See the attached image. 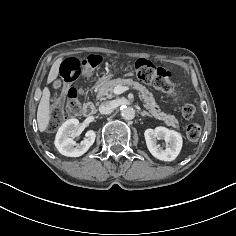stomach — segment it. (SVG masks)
Masks as SVG:
<instances>
[{
	"label": "stomach",
	"instance_id": "1",
	"mask_svg": "<svg viewBox=\"0 0 236 236\" xmlns=\"http://www.w3.org/2000/svg\"><path fill=\"white\" fill-rule=\"evenodd\" d=\"M114 72H117V70L115 69ZM114 74L111 72V73H108L106 74V78H111Z\"/></svg>",
	"mask_w": 236,
	"mask_h": 236
}]
</instances>
